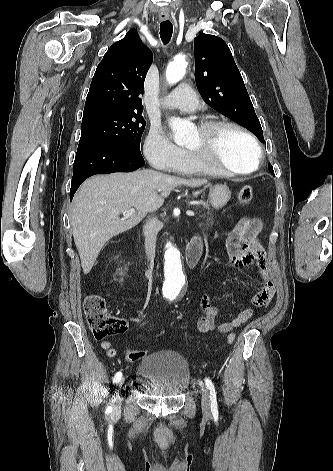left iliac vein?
I'll return each mask as SVG.
<instances>
[{
    "label": "left iliac vein",
    "instance_id": "left-iliac-vein-1",
    "mask_svg": "<svg viewBox=\"0 0 333 471\" xmlns=\"http://www.w3.org/2000/svg\"><path fill=\"white\" fill-rule=\"evenodd\" d=\"M201 393H202V410L206 416H210L211 414V401H210V394L206 387L201 384Z\"/></svg>",
    "mask_w": 333,
    "mask_h": 471
}]
</instances>
